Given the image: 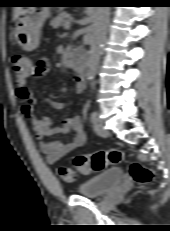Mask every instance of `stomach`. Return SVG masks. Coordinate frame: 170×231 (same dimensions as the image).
Segmentation results:
<instances>
[{"label":"stomach","instance_id":"0dacf381","mask_svg":"<svg viewBox=\"0 0 170 231\" xmlns=\"http://www.w3.org/2000/svg\"><path fill=\"white\" fill-rule=\"evenodd\" d=\"M49 16V7H27L21 12L13 34L24 50L32 51L38 47L42 26Z\"/></svg>","mask_w":170,"mask_h":231}]
</instances>
